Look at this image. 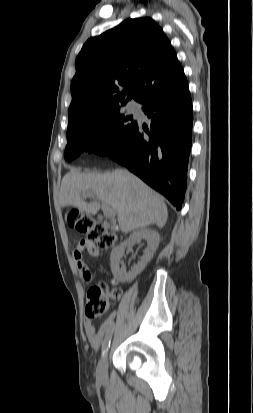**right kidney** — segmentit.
Segmentation results:
<instances>
[{"instance_id":"ca27d5eb","label":"right kidney","mask_w":253,"mask_h":413,"mask_svg":"<svg viewBox=\"0 0 253 413\" xmlns=\"http://www.w3.org/2000/svg\"><path fill=\"white\" fill-rule=\"evenodd\" d=\"M142 239H144L147 243L144 254L140 258V261H138V263L134 265L129 272H126L124 268H120V260L124 256V251L127 247L133 246ZM159 241V233L154 230L140 229L134 231L124 243L114 249L111 253L110 266L114 278L118 281H132L152 259L154 252L158 248Z\"/></svg>"}]
</instances>
